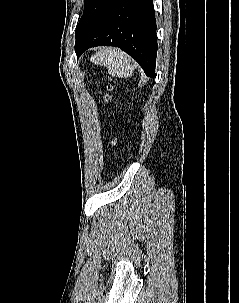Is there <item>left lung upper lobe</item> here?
Segmentation results:
<instances>
[{
  "mask_svg": "<svg viewBox=\"0 0 239 303\" xmlns=\"http://www.w3.org/2000/svg\"><path fill=\"white\" fill-rule=\"evenodd\" d=\"M116 1L117 0H84L85 7L83 15L79 20L75 32V52L77 56L79 55L83 40L98 26Z\"/></svg>",
  "mask_w": 239,
  "mask_h": 303,
  "instance_id": "obj_1",
  "label": "left lung upper lobe"
}]
</instances>
